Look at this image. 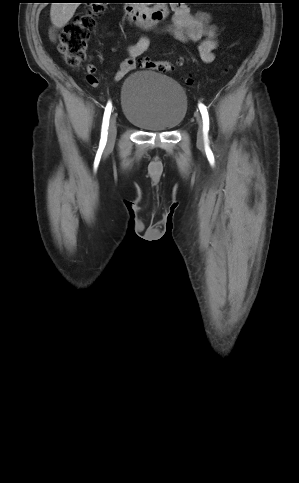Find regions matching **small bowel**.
Here are the masks:
<instances>
[{"label":"small bowel","mask_w":299,"mask_h":483,"mask_svg":"<svg viewBox=\"0 0 299 483\" xmlns=\"http://www.w3.org/2000/svg\"><path fill=\"white\" fill-rule=\"evenodd\" d=\"M159 31L182 43L200 42L198 51L201 60L204 63H212L214 61V51L217 48V27L210 23V15L207 12L199 11L194 13L186 4L178 2L173 7L171 23ZM51 39L53 41L57 40L55 31L51 32ZM149 43L148 37L141 36L136 43L127 47L129 57L120 64L115 75L116 80H121L135 69L137 58L147 50ZM87 72L96 78V82L92 84L96 85V68L93 65H89Z\"/></svg>","instance_id":"small-bowel-1"}]
</instances>
